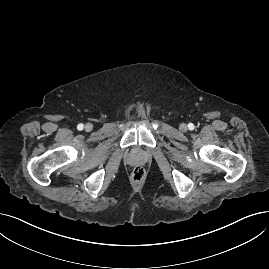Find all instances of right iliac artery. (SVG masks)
Returning <instances> with one entry per match:
<instances>
[{"mask_svg": "<svg viewBox=\"0 0 269 269\" xmlns=\"http://www.w3.org/2000/svg\"><path fill=\"white\" fill-rule=\"evenodd\" d=\"M83 128H84V125H83V124H78V126H77V129H78V130L81 131V130H83Z\"/></svg>", "mask_w": 269, "mask_h": 269, "instance_id": "obj_1", "label": "right iliac artery"}]
</instances>
